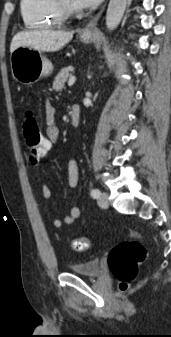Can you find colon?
Returning a JSON list of instances; mask_svg holds the SVG:
<instances>
[{
    "label": "colon",
    "instance_id": "colon-1",
    "mask_svg": "<svg viewBox=\"0 0 171 337\" xmlns=\"http://www.w3.org/2000/svg\"><path fill=\"white\" fill-rule=\"evenodd\" d=\"M25 148L31 163H39L50 151V141L40 134L36 119L29 115L23 124ZM70 246L75 251H85L90 246L86 236L74 238ZM146 249L136 239H130L117 244L110 252L108 265L111 273L119 281L121 289H127L138 274V265L146 257Z\"/></svg>",
    "mask_w": 171,
    "mask_h": 337
}]
</instances>
